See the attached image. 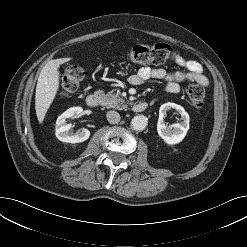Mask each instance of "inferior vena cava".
Wrapping results in <instances>:
<instances>
[{"instance_id": "1", "label": "inferior vena cava", "mask_w": 247, "mask_h": 247, "mask_svg": "<svg viewBox=\"0 0 247 247\" xmlns=\"http://www.w3.org/2000/svg\"><path fill=\"white\" fill-rule=\"evenodd\" d=\"M106 117L111 124H117L120 121V114L116 111H108Z\"/></svg>"}]
</instances>
